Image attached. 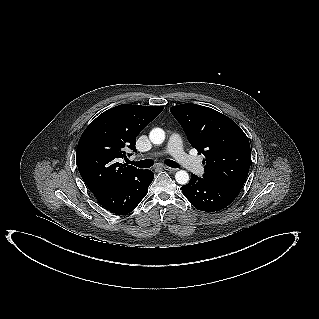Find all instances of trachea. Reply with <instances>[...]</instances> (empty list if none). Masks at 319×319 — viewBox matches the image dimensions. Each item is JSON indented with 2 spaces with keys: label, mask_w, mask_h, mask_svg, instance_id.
<instances>
[{
  "label": "trachea",
  "mask_w": 319,
  "mask_h": 319,
  "mask_svg": "<svg viewBox=\"0 0 319 319\" xmlns=\"http://www.w3.org/2000/svg\"><path fill=\"white\" fill-rule=\"evenodd\" d=\"M127 162L130 163V164H133V165H135L136 167H139V168H149V167H151L154 164L153 160H150V159L142 160V161H139V162H131V161L128 160ZM165 164L167 166H169V167H172V168H179L178 163H176L173 160L167 159V160H165Z\"/></svg>",
  "instance_id": "1"
}]
</instances>
